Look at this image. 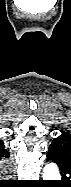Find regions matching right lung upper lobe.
Masks as SVG:
<instances>
[{"mask_svg": "<svg viewBox=\"0 0 71 187\" xmlns=\"http://www.w3.org/2000/svg\"><path fill=\"white\" fill-rule=\"evenodd\" d=\"M0 156L6 158L9 157V152L2 141H0Z\"/></svg>", "mask_w": 71, "mask_h": 187, "instance_id": "right-lung-upper-lobe-1", "label": "right lung upper lobe"}]
</instances>
